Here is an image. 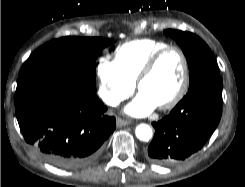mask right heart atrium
Masks as SVG:
<instances>
[{
	"mask_svg": "<svg viewBox=\"0 0 245 187\" xmlns=\"http://www.w3.org/2000/svg\"><path fill=\"white\" fill-rule=\"evenodd\" d=\"M96 72L99 80L98 96L107 106L115 107L133 93L135 84L127 80L110 57L102 56L98 59Z\"/></svg>",
	"mask_w": 245,
	"mask_h": 187,
	"instance_id": "1",
	"label": "right heart atrium"
}]
</instances>
